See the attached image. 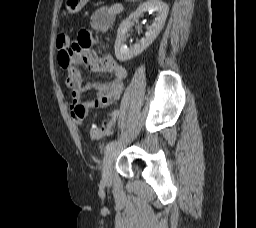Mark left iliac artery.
I'll list each match as a JSON object with an SVG mask.
<instances>
[{
  "mask_svg": "<svg viewBox=\"0 0 256 228\" xmlns=\"http://www.w3.org/2000/svg\"><path fill=\"white\" fill-rule=\"evenodd\" d=\"M117 144L116 140L110 141L109 143H107L105 150L108 151L110 150L112 147H114Z\"/></svg>",
  "mask_w": 256,
  "mask_h": 228,
  "instance_id": "left-iliac-artery-1",
  "label": "left iliac artery"
}]
</instances>
